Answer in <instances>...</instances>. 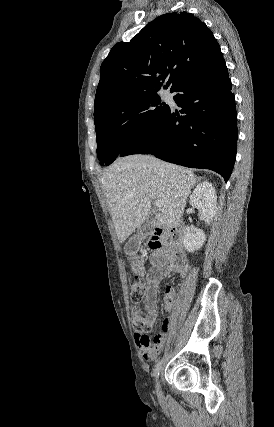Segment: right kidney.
I'll list each match as a JSON object with an SVG mask.
<instances>
[{
    "label": "right kidney",
    "mask_w": 274,
    "mask_h": 427,
    "mask_svg": "<svg viewBox=\"0 0 274 427\" xmlns=\"http://www.w3.org/2000/svg\"><path fill=\"white\" fill-rule=\"evenodd\" d=\"M190 204L193 208H197L200 217L204 219L205 223H210L217 208V194L210 182H201L196 186L192 196H190ZM206 235L203 229H192L186 227L183 233V243L187 251H195L200 249L205 243Z\"/></svg>",
    "instance_id": "ca27d5eb"
}]
</instances>
